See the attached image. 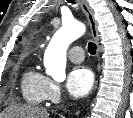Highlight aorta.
I'll return each mask as SVG.
<instances>
[{"label": "aorta", "mask_w": 133, "mask_h": 118, "mask_svg": "<svg viewBox=\"0 0 133 118\" xmlns=\"http://www.w3.org/2000/svg\"><path fill=\"white\" fill-rule=\"evenodd\" d=\"M86 31L85 25L78 21L63 23L50 41L44 55L46 73L55 80L66 77V52L69 45Z\"/></svg>", "instance_id": "obj_1"}]
</instances>
